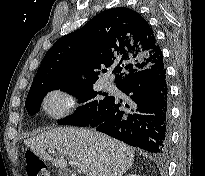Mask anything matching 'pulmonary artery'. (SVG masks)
Here are the masks:
<instances>
[{
	"mask_svg": "<svg viewBox=\"0 0 205 176\" xmlns=\"http://www.w3.org/2000/svg\"><path fill=\"white\" fill-rule=\"evenodd\" d=\"M105 87L110 89L113 87V84L111 82H106Z\"/></svg>",
	"mask_w": 205,
	"mask_h": 176,
	"instance_id": "1",
	"label": "pulmonary artery"
}]
</instances>
